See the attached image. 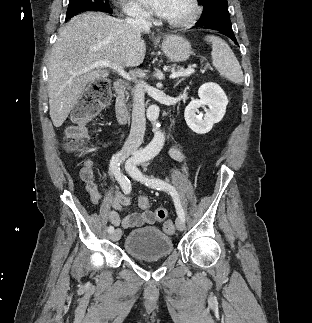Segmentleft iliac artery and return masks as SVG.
<instances>
[{"instance_id": "44dca946", "label": "left iliac artery", "mask_w": 312, "mask_h": 323, "mask_svg": "<svg viewBox=\"0 0 312 323\" xmlns=\"http://www.w3.org/2000/svg\"><path fill=\"white\" fill-rule=\"evenodd\" d=\"M145 160H146L145 158H138L136 163L137 164L143 163ZM129 173L133 178L145 183L146 186L156 188L157 190L168 191L173 198L178 216L183 221H185V213L182 208V205H181V202L179 199V195H178L176 189L170 183H168L162 179H159V178L145 176L137 168H133V169L129 170Z\"/></svg>"}]
</instances>
